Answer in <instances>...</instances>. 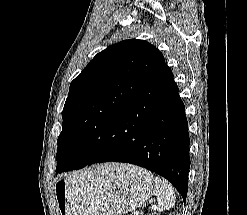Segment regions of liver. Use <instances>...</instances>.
Returning <instances> with one entry per match:
<instances>
[{
    "label": "liver",
    "instance_id": "obj_1",
    "mask_svg": "<svg viewBox=\"0 0 247 215\" xmlns=\"http://www.w3.org/2000/svg\"><path fill=\"white\" fill-rule=\"evenodd\" d=\"M120 168H124V165H121ZM115 169H117L115 164H107L103 167V170L107 173H110V172L114 171Z\"/></svg>",
    "mask_w": 247,
    "mask_h": 215
}]
</instances>
